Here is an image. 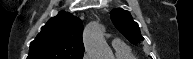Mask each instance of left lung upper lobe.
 Returning a JSON list of instances; mask_svg holds the SVG:
<instances>
[{
    "label": "left lung upper lobe",
    "instance_id": "obj_1",
    "mask_svg": "<svg viewBox=\"0 0 193 59\" xmlns=\"http://www.w3.org/2000/svg\"><path fill=\"white\" fill-rule=\"evenodd\" d=\"M110 17L115 27L132 43L138 44L144 40L140 33V28L133 21L131 14L121 8L110 12Z\"/></svg>",
    "mask_w": 193,
    "mask_h": 59
}]
</instances>
